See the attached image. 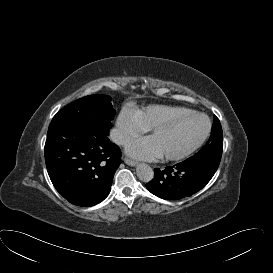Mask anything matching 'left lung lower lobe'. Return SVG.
<instances>
[{"instance_id": "left-lung-lower-lobe-1", "label": "left lung lower lobe", "mask_w": 273, "mask_h": 273, "mask_svg": "<svg viewBox=\"0 0 273 273\" xmlns=\"http://www.w3.org/2000/svg\"><path fill=\"white\" fill-rule=\"evenodd\" d=\"M216 170L204 163L185 160L164 170L154 169L155 177L146 184V188L162 199L177 200L202 189Z\"/></svg>"}]
</instances>
